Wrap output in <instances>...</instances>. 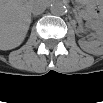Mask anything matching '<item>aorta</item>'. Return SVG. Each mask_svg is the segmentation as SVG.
Instances as JSON below:
<instances>
[{
    "label": "aorta",
    "mask_w": 103,
    "mask_h": 103,
    "mask_svg": "<svg viewBox=\"0 0 103 103\" xmlns=\"http://www.w3.org/2000/svg\"><path fill=\"white\" fill-rule=\"evenodd\" d=\"M50 11L54 15H63L66 12V7L62 2L55 1L51 4Z\"/></svg>",
    "instance_id": "762f6f07"
}]
</instances>
